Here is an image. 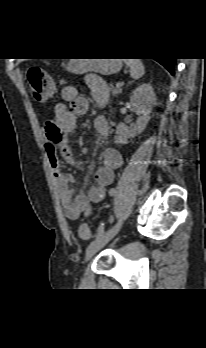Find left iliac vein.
Returning <instances> with one entry per match:
<instances>
[{
  "label": "left iliac vein",
  "mask_w": 206,
  "mask_h": 348,
  "mask_svg": "<svg viewBox=\"0 0 206 348\" xmlns=\"http://www.w3.org/2000/svg\"><path fill=\"white\" fill-rule=\"evenodd\" d=\"M123 221L119 220L111 229L89 244L86 250L85 261L102 249L120 230Z\"/></svg>",
  "instance_id": "1"
}]
</instances>
